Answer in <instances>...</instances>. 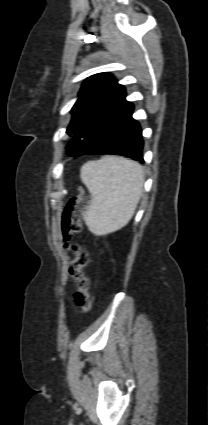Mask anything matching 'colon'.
<instances>
[{
	"instance_id": "obj_1",
	"label": "colon",
	"mask_w": 208,
	"mask_h": 425,
	"mask_svg": "<svg viewBox=\"0 0 208 425\" xmlns=\"http://www.w3.org/2000/svg\"><path fill=\"white\" fill-rule=\"evenodd\" d=\"M77 195L71 198L64 208L61 220L62 238L65 247L74 254L69 264V276L75 283L74 300L76 304L87 313L91 309V296L89 280L84 273V268L89 263V254L86 249L71 239L82 230V211L86 198V191L82 186L77 187Z\"/></svg>"
}]
</instances>
